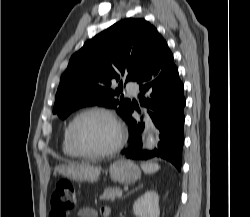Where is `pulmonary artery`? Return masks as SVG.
Masks as SVG:
<instances>
[{
	"label": "pulmonary artery",
	"mask_w": 250,
	"mask_h": 217,
	"mask_svg": "<svg viewBox=\"0 0 250 217\" xmlns=\"http://www.w3.org/2000/svg\"><path fill=\"white\" fill-rule=\"evenodd\" d=\"M126 90L129 94L136 95L139 90V86L136 82L130 81L126 83Z\"/></svg>",
	"instance_id": "obj_1"
}]
</instances>
